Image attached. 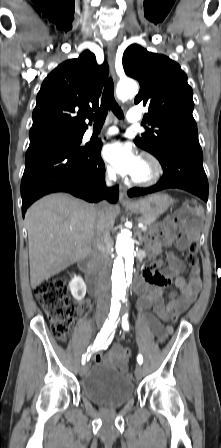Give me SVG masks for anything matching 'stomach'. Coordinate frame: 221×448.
<instances>
[{"label": "stomach", "instance_id": "1", "mask_svg": "<svg viewBox=\"0 0 221 448\" xmlns=\"http://www.w3.org/2000/svg\"><path fill=\"white\" fill-rule=\"evenodd\" d=\"M172 204V199L167 194L157 193L126 205L125 208L133 213L143 216H159L163 214Z\"/></svg>", "mask_w": 221, "mask_h": 448}]
</instances>
